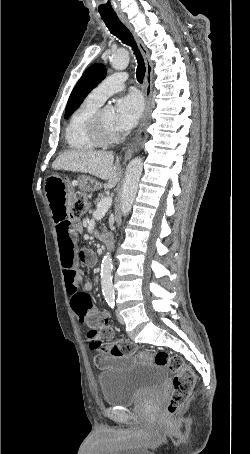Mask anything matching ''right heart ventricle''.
Returning a JSON list of instances; mask_svg holds the SVG:
<instances>
[{"instance_id":"right-heart-ventricle-1","label":"right heart ventricle","mask_w":250,"mask_h":454,"mask_svg":"<svg viewBox=\"0 0 250 454\" xmlns=\"http://www.w3.org/2000/svg\"><path fill=\"white\" fill-rule=\"evenodd\" d=\"M100 106L88 97L72 113L65 130V139L71 150L88 151L99 146L89 133L88 121Z\"/></svg>"}]
</instances>
